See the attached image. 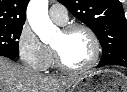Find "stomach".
<instances>
[{
	"mask_svg": "<svg viewBox=\"0 0 127 92\" xmlns=\"http://www.w3.org/2000/svg\"><path fill=\"white\" fill-rule=\"evenodd\" d=\"M69 92H127V77L110 69L91 71L79 77Z\"/></svg>",
	"mask_w": 127,
	"mask_h": 92,
	"instance_id": "0dacf381",
	"label": "stomach"
}]
</instances>
